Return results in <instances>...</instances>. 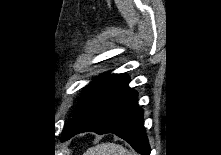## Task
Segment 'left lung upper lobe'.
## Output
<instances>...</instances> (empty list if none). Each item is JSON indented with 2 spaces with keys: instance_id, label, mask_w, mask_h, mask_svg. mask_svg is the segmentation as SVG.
Wrapping results in <instances>:
<instances>
[{
  "instance_id": "1",
  "label": "left lung upper lobe",
  "mask_w": 221,
  "mask_h": 155,
  "mask_svg": "<svg viewBox=\"0 0 221 155\" xmlns=\"http://www.w3.org/2000/svg\"><path fill=\"white\" fill-rule=\"evenodd\" d=\"M108 77V75H104L101 77H98L97 79H95L94 81H92L89 85H87L83 92H82V98L80 103L77 106L76 109V113L74 115V119L73 121L77 118V116L79 115L80 111L82 110L83 106L85 105L88 97L91 95V93L95 90V88L106 78Z\"/></svg>"
}]
</instances>
